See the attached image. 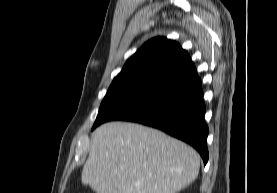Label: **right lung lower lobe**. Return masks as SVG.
<instances>
[{"label":"right lung lower lobe","instance_id":"98d812e1","mask_svg":"<svg viewBox=\"0 0 277 193\" xmlns=\"http://www.w3.org/2000/svg\"><path fill=\"white\" fill-rule=\"evenodd\" d=\"M201 80L194 73L151 92L110 120L142 123L192 145L208 161V126ZM108 120V121H110Z\"/></svg>","mask_w":277,"mask_h":193}]
</instances>
